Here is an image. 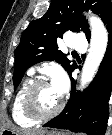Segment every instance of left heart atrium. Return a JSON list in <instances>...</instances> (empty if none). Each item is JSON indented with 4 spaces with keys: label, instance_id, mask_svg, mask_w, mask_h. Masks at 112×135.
Here are the masks:
<instances>
[{
    "label": "left heart atrium",
    "instance_id": "obj_1",
    "mask_svg": "<svg viewBox=\"0 0 112 135\" xmlns=\"http://www.w3.org/2000/svg\"><path fill=\"white\" fill-rule=\"evenodd\" d=\"M67 78L63 72H57L53 75L51 86L58 96H62L67 90Z\"/></svg>",
    "mask_w": 112,
    "mask_h": 135
}]
</instances>
